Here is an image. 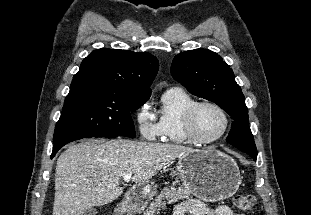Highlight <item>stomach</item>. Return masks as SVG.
I'll return each instance as SVG.
<instances>
[{
    "label": "stomach",
    "mask_w": 311,
    "mask_h": 215,
    "mask_svg": "<svg viewBox=\"0 0 311 215\" xmlns=\"http://www.w3.org/2000/svg\"><path fill=\"white\" fill-rule=\"evenodd\" d=\"M182 188L206 202L232 197L241 183L239 168L233 158L216 149L193 150L179 158L176 166ZM157 193L148 182L131 190L129 198L117 208V215L140 213ZM127 213V214H126Z\"/></svg>",
    "instance_id": "1"
}]
</instances>
